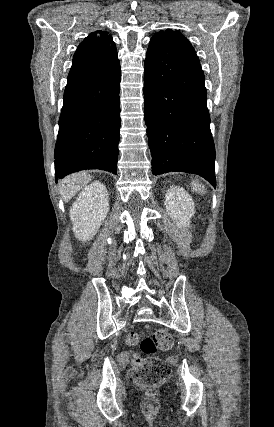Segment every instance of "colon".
<instances>
[{
  "mask_svg": "<svg viewBox=\"0 0 274 427\" xmlns=\"http://www.w3.org/2000/svg\"><path fill=\"white\" fill-rule=\"evenodd\" d=\"M130 346L140 344V352L144 356H136L129 371L130 380L138 386L150 387L161 384L171 375L169 364L155 354L172 347V336L163 329H155L150 336H141L131 332L126 336Z\"/></svg>",
  "mask_w": 274,
  "mask_h": 427,
  "instance_id": "obj_1",
  "label": "colon"
}]
</instances>
